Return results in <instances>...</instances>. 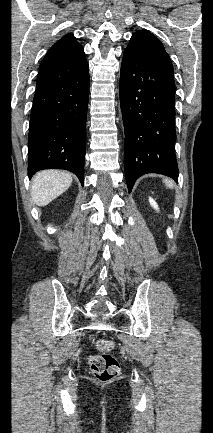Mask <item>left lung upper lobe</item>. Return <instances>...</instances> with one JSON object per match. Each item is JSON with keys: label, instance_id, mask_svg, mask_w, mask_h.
Instances as JSON below:
<instances>
[{"label": "left lung upper lobe", "instance_id": "1", "mask_svg": "<svg viewBox=\"0 0 213 433\" xmlns=\"http://www.w3.org/2000/svg\"><path fill=\"white\" fill-rule=\"evenodd\" d=\"M127 49L133 50L144 59L173 72V65L163 44L152 33L140 30L133 34Z\"/></svg>", "mask_w": 213, "mask_h": 433}]
</instances>
